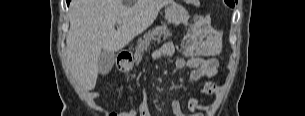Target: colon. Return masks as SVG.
<instances>
[{"label": "colon", "mask_w": 305, "mask_h": 116, "mask_svg": "<svg viewBox=\"0 0 305 116\" xmlns=\"http://www.w3.org/2000/svg\"><path fill=\"white\" fill-rule=\"evenodd\" d=\"M229 2H230L229 0H224V3L226 5H230ZM136 115H137V111L134 109H127L118 112H112L109 114V116H136Z\"/></svg>", "instance_id": "obj_1"}]
</instances>
